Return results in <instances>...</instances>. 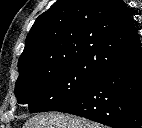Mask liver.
<instances>
[{
  "label": "liver",
  "mask_w": 142,
  "mask_h": 128,
  "mask_svg": "<svg viewBox=\"0 0 142 128\" xmlns=\"http://www.w3.org/2000/svg\"><path fill=\"white\" fill-rule=\"evenodd\" d=\"M23 128H102L87 119L62 113L38 114L25 122Z\"/></svg>",
  "instance_id": "liver-1"
}]
</instances>
